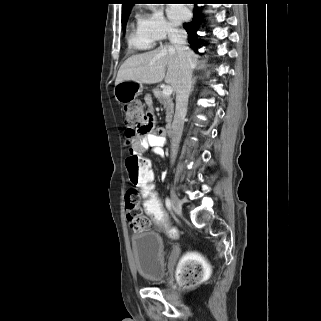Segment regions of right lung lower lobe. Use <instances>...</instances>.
Listing matches in <instances>:
<instances>
[{"mask_svg":"<svg viewBox=\"0 0 321 321\" xmlns=\"http://www.w3.org/2000/svg\"><path fill=\"white\" fill-rule=\"evenodd\" d=\"M195 7L193 9V19L190 22L184 23L183 27L188 33V41L192 45L194 50L200 47V40L198 39L197 31L199 30L203 15L201 13V7H198V3H207L208 0H193Z\"/></svg>","mask_w":321,"mask_h":321,"instance_id":"1","label":"right lung lower lobe"}]
</instances>
